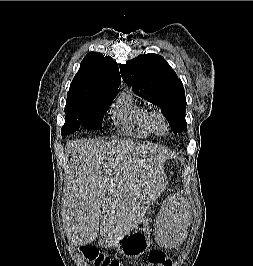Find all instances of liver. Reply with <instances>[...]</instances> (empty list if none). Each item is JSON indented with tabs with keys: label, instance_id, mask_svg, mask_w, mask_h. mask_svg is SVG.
<instances>
[{
	"label": "liver",
	"instance_id": "6515ba94",
	"mask_svg": "<svg viewBox=\"0 0 253 266\" xmlns=\"http://www.w3.org/2000/svg\"><path fill=\"white\" fill-rule=\"evenodd\" d=\"M170 157L164 147L131 140L73 142L65 214L72 244H89L99 235L119 240L140 225Z\"/></svg>",
	"mask_w": 253,
	"mask_h": 266
}]
</instances>
